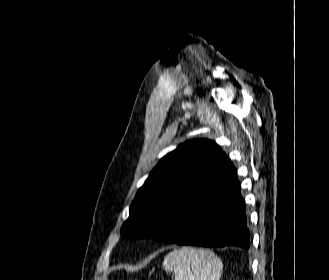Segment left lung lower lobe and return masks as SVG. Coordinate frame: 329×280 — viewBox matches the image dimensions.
<instances>
[{
  "label": "left lung lower lobe",
  "mask_w": 329,
  "mask_h": 280,
  "mask_svg": "<svg viewBox=\"0 0 329 280\" xmlns=\"http://www.w3.org/2000/svg\"><path fill=\"white\" fill-rule=\"evenodd\" d=\"M160 239L178 245L249 249L245 203L232 164L222 184L207 190L188 206L174 225L164 227Z\"/></svg>",
  "instance_id": "0a47b994"
}]
</instances>
